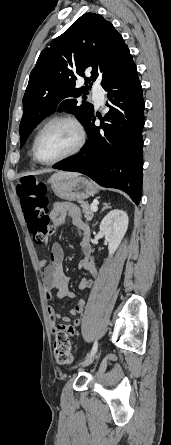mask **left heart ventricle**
<instances>
[{"label": "left heart ventricle", "instance_id": "obj_1", "mask_svg": "<svg viewBox=\"0 0 171 445\" xmlns=\"http://www.w3.org/2000/svg\"><path fill=\"white\" fill-rule=\"evenodd\" d=\"M77 142L75 129L65 123L50 126L44 131L37 144L41 160L50 161L70 151Z\"/></svg>", "mask_w": 171, "mask_h": 445}]
</instances>
